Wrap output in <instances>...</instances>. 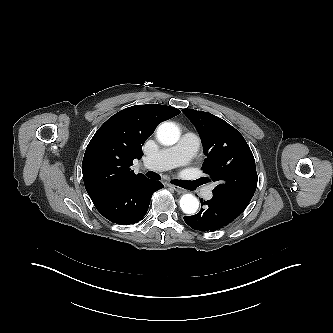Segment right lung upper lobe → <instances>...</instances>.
I'll list each match as a JSON object with an SVG mask.
<instances>
[{
	"instance_id": "right-lung-upper-lobe-1",
	"label": "right lung upper lobe",
	"mask_w": 333,
	"mask_h": 333,
	"mask_svg": "<svg viewBox=\"0 0 333 333\" xmlns=\"http://www.w3.org/2000/svg\"><path fill=\"white\" fill-rule=\"evenodd\" d=\"M179 113L166 105H136L114 114L97 130L82 162L85 188L93 202L146 179L131 169L133 160L142 157L141 148L156 126Z\"/></svg>"
}]
</instances>
